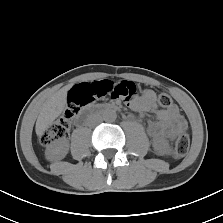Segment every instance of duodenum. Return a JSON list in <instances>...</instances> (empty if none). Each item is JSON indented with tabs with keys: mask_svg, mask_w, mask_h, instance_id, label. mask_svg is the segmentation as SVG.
Masks as SVG:
<instances>
[{
	"mask_svg": "<svg viewBox=\"0 0 223 223\" xmlns=\"http://www.w3.org/2000/svg\"><path fill=\"white\" fill-rule=\"evenodd\" d=\"M120 107L114 104H101L96 107L90 108L86 110L82 117L78 119V125H81L82 123L86 122L88 117L96 114L98 112L102 111H113V110H119Z\"/></svg>",
	"mask_w": 223,
	"mask_h": 223,
	"instance_id": "1",
	"label": "duodenum"
}]
</instances>
